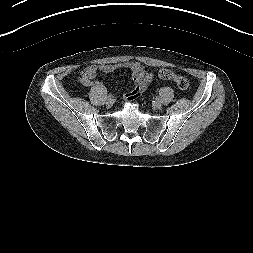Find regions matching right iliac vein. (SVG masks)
<instances>
[{
    "instance_id": "63e3f726",
    "label": "right iliac vein",
    "mask_w": 253,
    "mask_h": 253,
    "mask_svg": "<svg viewBox=\"0 0 253 253\" xmlns=\"http://www.w3.org/2000/svg\"><path fill=\"white\" fill-rule=\"evenodd\" d=\"M113 103H114V100H113L112 98H108V99H107V105H108V106H112Z\"/></svg>"
}]
</instances>
